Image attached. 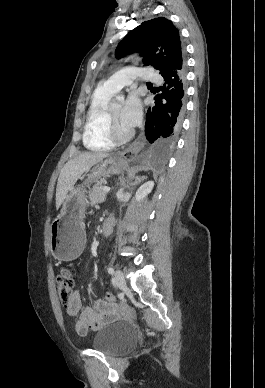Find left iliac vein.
Listing matches in <instances>:
<instances>
[{"label": "left iliac vein", "mask_w": 265, "mask_h": 388, "mask_svg": "<svg viewBox=\"0 0 265 388\" xmlns=\"http://www.w3.org/2000/svg\"><path fill=\"white\" fill-rule=\"evenodd\" d=\"M114 282L120 289L126 288V281L121 270H117L114 277Z\"/></svg>", "instance_id": "4c4485c4"}]
</instances>
